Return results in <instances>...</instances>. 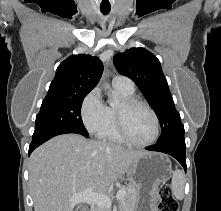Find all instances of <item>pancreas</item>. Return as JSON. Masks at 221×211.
Instances as JSON below:
<instances>
[{"mask_svg":"<svg viewBox=\"0 0 221 211\" xmlns=\"http://www.w3.org/2000/svg\"><path fill=\"white\" fill-rule=\"evenodd\" d=\"M125 195L123 199L120 201V207L122 211H136L137 206V190L134 185H129L124 188ZM95 211H109L105 208L97 207Z\"/></svg>","mask_w":221,"mask_h":211,"instance_id":"1","label":"pancreas"}]
</instances>
